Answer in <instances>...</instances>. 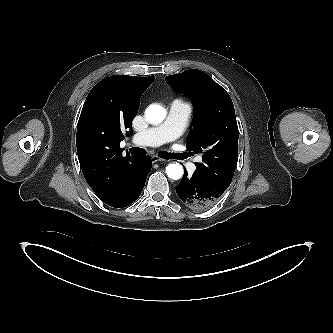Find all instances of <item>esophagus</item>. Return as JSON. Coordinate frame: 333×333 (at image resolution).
<instances>
[{
    "instance_id": "34e87169",
    "label": "esophagus",
    "mask_w": 333,
    "mask_h": 333,
    "mask_svg": "<svg viewBox=\"0 0 333 333\" xmlns=\"http://www.w3.org/2000/svg\"><path fill=\"white\" fill-rule=\"evenodd\" d=\"M151 160H152L153 163H155V162H159V161H164V159H162V158H160V157H158V156H156V155H153V156L151 157Z\"/></svg>"
}]
</instances>
